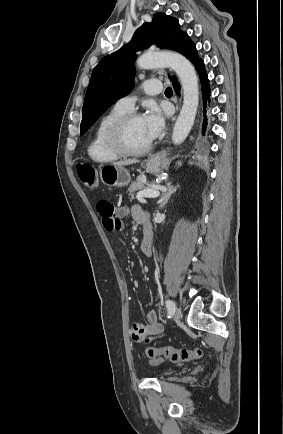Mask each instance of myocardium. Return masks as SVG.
I'll return each mask as SVG.
<instances>
[{"label":"myocardium","instance_id":"myocardium-1","mask_svg":"<svg viewBox=\"0 0 283 434\" xmlns=\"http://www.w3.org/2000/svg\"><path fill=\"white\" fill-rule=\"evenodd\" d=\"M141 118L136 112L126 113L116 119L107 129L105 139L108 147L121 156H139L149 152L152 142L142 148H132L126 141V130L135 119Z\"/></svg>","mask_w":283,"mask_h":434}]
</instances>
